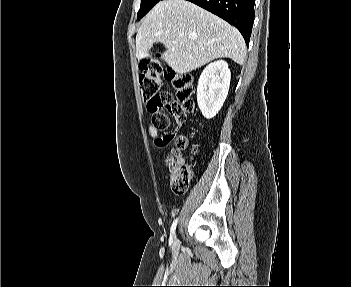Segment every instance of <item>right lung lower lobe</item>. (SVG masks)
Returning a JSON list of instances; mask_svg holds the SVG:
<instances>
[{
    "label": "right lung lower lobe",
    "mask_w": 351,
    "mask_h": 287,
    "mask_svg": "<svg viewBox=\"0 0 351 287\" xmlns=\"http://www.w3.org/2000/svg\"><path fill=\"white\" fill-rule=\"evenodd\" d=\"M234 25L249 44L255 0H187Z\"/></svg>",
    "instance_id": "obj_1"
}]
</instances>
